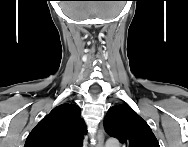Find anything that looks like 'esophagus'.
<instances>
[{"label":"esophagus","mask_w":188,"mask_h":147,"mask_svg":"<svg viewBox=\"0 0 188 147\" xmlns=\"http://www.w3.org/2000/svg\"><path fill=\"white\" fill-rule=\"evenodd\" d=\"M95 147H104V130L102 126H99L96 132V146Z\"/></svg>","instance_id":"34e87169"}]
</instances>
